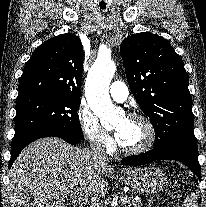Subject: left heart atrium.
Here are the masks:
<instances>
[{
    "label": "left heart atrium",
    "instance_id": "left-heart-atrium-1",
    "mask_svg": "<svg viewBox=\"0 0 206 207\" xmlns=\"http://www.w3.org/2000/svg\"><path fill=\"white\" fill-rule=\"evenodd\" d=\"M116 139H117V141L120 143L121 142V140H122V134L120 133V132H117L116 133Z\"/></svg>",
    "mask_w": 206,
    "mask_h": 207
}]
</instances>
